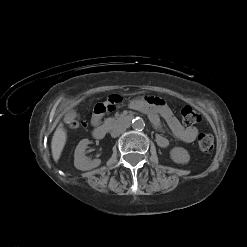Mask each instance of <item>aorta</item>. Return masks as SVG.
<instances>
[{
  "label": "aorta",
  "instance_id": "762f6f07",
  "mask_svg": "<svg viewBox=\"0 0 247 247\" xmlns=\"http://www.w3.org/2000/svg\"><path fill=\"white\" fill-rule=\"evenodd\" d=\"M132 127L135 130H142L145 127L144 120L140 117H136L132 120Z\"/></svg>",
  "mask_w": 247,
  "mask_h": 247
}]
</instances>
